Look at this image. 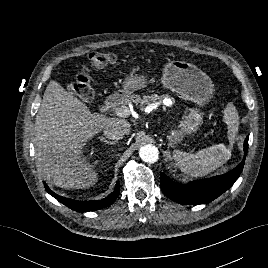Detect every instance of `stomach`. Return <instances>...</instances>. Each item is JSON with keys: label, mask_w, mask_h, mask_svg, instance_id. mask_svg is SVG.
<instances>
[{"label": "stomach", "mask_w": 268, "mask_h": 268, "mask_svg": "<svg viewBox=\"0 0 268 268\" xmlns=\"http://www.w3.org/2000/svg\"><path fill=\"white\" fill-rule=\"evenodd\" d=\"M162 85L177 93L182 98L194 102L198 108H189L179 121L173 134L169 135L170 144L180 142L185 135L195 133L203 123V113L200 107L210 101L214 93V85L210 77L193 63L182 60H168L164 65L161 78ZM144 75L131 74L125 78L122 95L126 100H132L134 92L147 86Z\"/></svg>", "instance_id": "obj_1"}]
</instances>
